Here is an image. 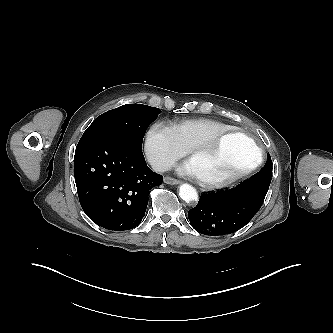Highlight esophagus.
Returning <instances> with one entry per match:
<instances>
[{
    "label": "esophagus",
    "instance_id": "34e87169",
    "mask_svg": "<svg viewBox=\"0 0 333 333\" xmlns=\"http://www.w3.org/2000/svg\"><path fill=\"white\" fill-rule=\"evenodd\" d=\"M164 182L166 184H171V185H177V184L181 183L180 180L172 178V177H169V176L164 177Z\"/></svg>",
    "mask_w": 333,
    "mask_h": 333
}]
</instances>
